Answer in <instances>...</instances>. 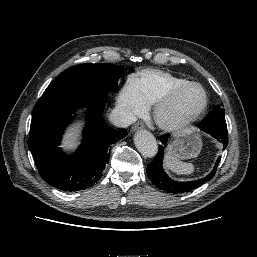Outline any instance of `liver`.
Listing matches in <instances>:
<instances>
[{"mask_svg":"<svg viewBox=\"0 0 257 257\" xmlns=\"http://www.w3.org/2000/svg\"><path fill=\"white\" fill-rule=\"evenodd\" d=\"M77 133H78V128H71V132H69L66 136H65V140L63 142L64 146L67 149H72L76 147V138H77Z\"/></svg>","mask_w":257,"mask_h":257,"instance_id":"liver-1","label":"liver"}]
</instances>
